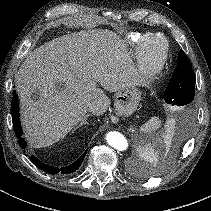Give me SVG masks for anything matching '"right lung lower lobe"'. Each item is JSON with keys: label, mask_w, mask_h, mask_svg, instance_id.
<instances>
[{"label": "right lung lower lobe", "mask_w": 211, "mask_h": 211, "mask_svg": "<svg viewBox=\"0 0 211 211\" xmlns=\"http://www.w3.org/2000/svg\"><path fill=\"white\" fill-rule=\"evenodd\" d=\"M14 96L12 98V117H13V125H14V130L16 133V136L19 138V144L22 148H25L26 146V142L25 140L21 137L22 136V128H21V124H20V119H19V104H18V98L17 95L15 94V91L13 92ZM88 150V149H87ZM87 150L72 164H70L69 166L66 167H62V168H57V167H52L49 166L47 164H44L43 162H41L39 159H37L35 156L31 157L32 162L39 167L40 169L44 170L47 173L50 174H57V173H61V174H70L75 172L82 164L83 159L87 153Z\"/></svg>", "instance_id": "98d812e1"}]
</instances>
